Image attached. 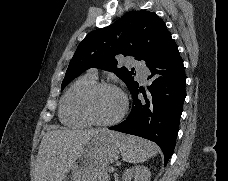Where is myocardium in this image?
I'll use <instances>...</instances> for the list:
<instances>
[{"label": "myocardium", "mask_w": 228, "mask_h": 181, "mask_svg": "<svg viewBox=\"0 0 228 181\" xmlns=\"http://www.w3.org/2000/svg\"><path fill=\"white\" fill-rule=\"evenodd\" d=\"M102 88H113V89L117 90L119 92V94L121 95L122 100H123V106H122L121 111L115 117L108 119V120H101V119L96 118L92 112L90 102H89L91 95L94 92H96ZM80 109H81L83 116L90 123L100 125V126H108V125L115 124L120 119H122V117L125 115V113L128 109V99H127V96L125 95V93L117 85H115L113 82H110V81L96 82L93 85H91L86 90L84 95L82 96V99L80 102Z\"/></svg>", "instance_id": "f54148a6"}]
</instances>
